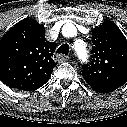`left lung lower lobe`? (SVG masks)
<instances>
[{"label":"left lung lower lobe","mask_w":127,"mask_h":127,"mask_svg":"<svg viewBox=\"0 0 127 127\" xmlns=\"http://www.w3.org/2000/svg\"><path fill=\"white\" fill-rule=\"evenodd\" d=\"M89 85L99 93H108L116 89L112 86L103 83H90Z\"/></svg>","instance_id":"0a47b994"}]
</instances>
